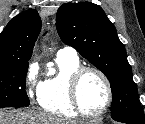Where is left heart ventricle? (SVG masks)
Segmentation results:
<instances>
[{"mask_svg": "<svg viewBox=\"0 0 145 124\" xmlns=\"http://www.w3.org/2000/svg\"><path fill=\"white\" fill-rule=\"evenodd\" d=\"M107 101V91L103 81L94 73H88L80 85V102L88 113H97Z\"/></svg>", "mask_w": 145, "mask_h": 124, "instance_id": "left-heart-ventricle-1", "label": "left heart ventricle"}]
</instances>
